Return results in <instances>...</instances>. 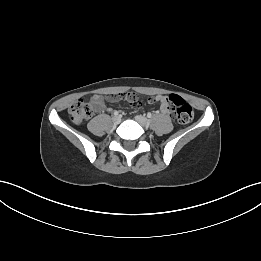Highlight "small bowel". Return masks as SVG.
<instances>
[{
    "mask_svg": "<svg viewBox=\"0 0 261 261\" xmlns=\"http://www.w3.org/2000/svg\"><path fill=\"white\" fill-rule=\"evenodd\" d=\"M121 98L125 101L131 104L133 107H138L140 105H151L154 106L157 101L160 102V110L164 114H168V107L166 102L164 101V96H157L156 98L154 96H144L143 94L135 93L133 91H125L121 95H116L115 98H112V96H107V101H119ZM90 106L95 112H103L106 110L105 100L104 97L101 95H93L90 99Z\"/></svg>",
    "mask_w": 261,
    "mask_h": 261,
    "instance_id": "c3829d8e",
    "label": "small bowel"
}]
</instances>
